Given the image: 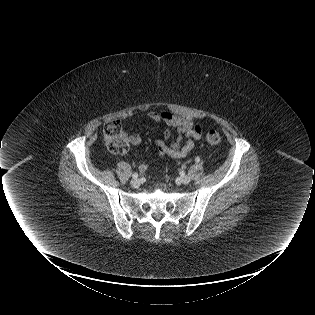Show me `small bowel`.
Wrapping results in <instances>:
<instances>
[{
  "instance_id": "small-bowel-1",
  "label": "small bowel",
  "mask_w": 315,
  "mask_h": 315,
  "mask_svg": "<svg viewBox=\"0 0 315 315\" xmlns=\"http://www.w3.org/2000/svg\"><path fill=\"white\" fill-rule=\"evenodd\" d=\"M143 116L156 124H164L167 127L164 139L155 140L159 157L169 156L181 159L190 156L195 149V140H199L203 133L199 123L168 111L146 112ZM170 139L172 141L168 144L167 141ZM128 141L132 146H138L141 144L142 138L138 134H132L128 137ZM138 169L143 173L148 169V165L142 163Z\"/></svg>"
}]
</instances>
